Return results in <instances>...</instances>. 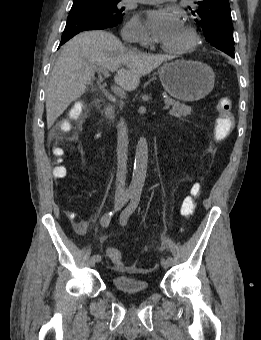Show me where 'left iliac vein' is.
Returning <instances> with one entry per match:
<instances>
[{
    "mask_svg": "<svg viewBox=\"0 0 261 340\" xmlns=\"http://www.w3.org/2000/svg\"><path fill=\"white\" fill-rule=\"evenodd\" d=\"M170 265H171V264L167 261V259H165V258H162V259H161V266H162L164 269L169 268Z\"/></svg>",
    "mask_w": 261,
    "mask_h": 340,
    "instance_id": "left-iliac-vein-1",
    "label": "left iliac vein"
}]
</instances>
